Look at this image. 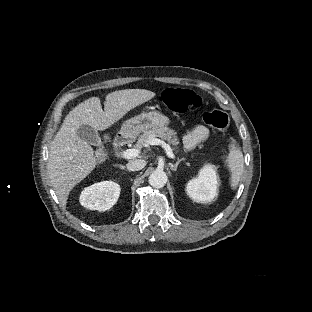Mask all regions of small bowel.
<instances>
[{"label": "small bowel", "instance_id": "1", "mask_svg": "<svg viewBox=\"0 0 312 312\" xmlns=\"http://www.w3.org/2000/svg\"><path fill=\"white\" fill-rule=\"evenodd\" d=\"M210 135V131L203 125H198L187 130L182 139L181 144L184 149H192L201 142L205 141Z\"/></svg>", "mask_w": 312, "mask_h": 312}]
</instances>
